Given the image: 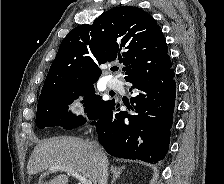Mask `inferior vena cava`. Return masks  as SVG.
<instances>
[{"label":"inferior vena cava","mask_w":224,"mask_h":184,"mask_svg":"<svg viewBox=\"0 0 224 184\" xmlns=\"http://www.w3.org/2000/svg\"><path fill=\"white\" fill-rule=\"evenodd\" d=\"M90 145H91V148L93 149V152L97 161L98 175H99L98 184H107V179H108L107 157L97 141H91Z\"/></svg>","instance_id":"602c4592"}]
</instances>
